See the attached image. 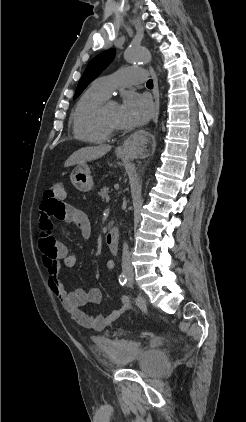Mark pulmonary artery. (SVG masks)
<instances>
[{"label": "pulmonary artery", "mask_w": 246, "mask_h": 422, "mask_svg": "<svg viewBox=\"0 0 246 422\" xmlns=\"http://www.w3.org/2000/svg\"><path fill=\"white\" fill-rule=\"evenodd\" d=\"M146 79V73L141 68L127 67L123 68L117 73L98 78L93 86L98 90L110 96L112 91L122 85L132 83H142Z\"/></svg>", "instance_id": "e3ab8cb5"}]
</instances>
